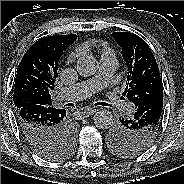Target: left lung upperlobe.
Instances as JSON below:
<instances>
[{
  "label": "left lung upper lobe",
  "instance_id": "5c2ea615",
  "mask_svg": "<svg viewBox=\"0 0 184 184\" xmlns=\"http://www.w3.org/2000/svg\"><path fill=\"white\" fill-rule=\"evenodd\" d=\"M113 38L122 48L128 67L124 94L136 107L143 102L163 97V84L159 68L147 43L134 33L114 32ZM162 114L154 120L138 123L120 119L108 133L112 150L119 156L131 157L145 151L154 141Z\"/></svg>",
  "mask_w": 184,
  "mask_h": 184
}]
</instances>
